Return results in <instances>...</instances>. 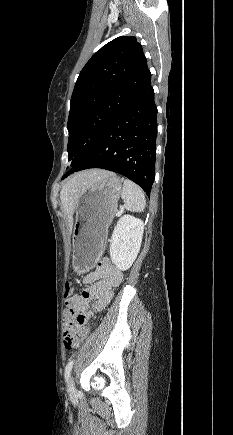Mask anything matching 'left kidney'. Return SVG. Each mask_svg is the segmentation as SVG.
<instances>
[{"label":"left kidney","mask_w":233,"mask_h":435,"mask_svg":"<svg viewBox=\"0 0 233 435\" xmlns=\"http://www.w3.org/2000/svg\"><path fill=\"white\" fill-rule=\"evenodd\" d=\"M143 231V221L132 215H124L117 222L111 237L110 258L119 270L132 266L141 247Z\"/></svg>","instance_id":"obj_1"}]
</instances>
